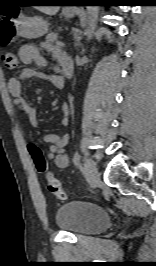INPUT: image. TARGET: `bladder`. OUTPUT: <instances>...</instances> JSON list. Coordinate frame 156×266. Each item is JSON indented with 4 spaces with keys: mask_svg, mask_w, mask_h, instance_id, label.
<instances>
[{
    "mask_svg": "<svg viewBox=\"0 0 156 266\" xmlns=\"http://www.w3.org/2000/svg\"><path fill=\"white\" fill-rule=\"evenodd\" d=\"M55 221L63 231L75 235H89L106 229L110 224V216L96 204L71 201L57 209Z\"/></svg>",
    "mask_w": 156,
    "mask_h": 266,
    "instance_id": "bladder-1",
    "label": "bladder"
}]
</instances>
